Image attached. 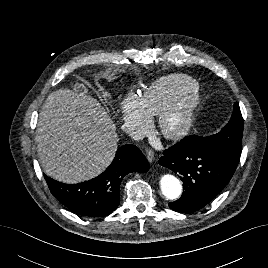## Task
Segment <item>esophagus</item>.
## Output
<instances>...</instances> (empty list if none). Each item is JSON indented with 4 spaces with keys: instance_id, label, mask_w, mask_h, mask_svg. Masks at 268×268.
<instances>
[{
    "instance_id": "34e87169",
    "label": "esophagus",
    "mask_w": 268,
    "mask_h": 268,
    "mask_svg": "<svg viewBox=\"0 0 268 268\" xmlns=\"http://www.w3.org/2000/svg\"><path fill=\"white\" fill-rule=\"evenodd\" d=\"M146 158L149 162H153L154 160V152L151 149L146 150Z\"/></svg>"
}]
</instances>
